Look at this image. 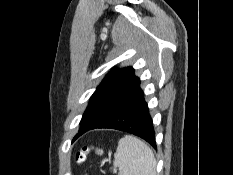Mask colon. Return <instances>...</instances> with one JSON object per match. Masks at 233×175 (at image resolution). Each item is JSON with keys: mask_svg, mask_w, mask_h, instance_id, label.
<instances>
[{"mask_svg": "<svg viewBox=\"0 0 233 175\" xmlns=\"http://www.w3.org/2000/svg\"><path fill=\"white\" fill-rule=\"evenodd\" d=\"M94 149L98 152L100 151L98 148H95L94 146H84L76 153V161L78 163L83 162L86 159V156L89 154V152Z\"/></svg>", "mask_w": 233, "mask_h": 175, "instance_id": "colon-1", "label": "colon"}]
</instances>
